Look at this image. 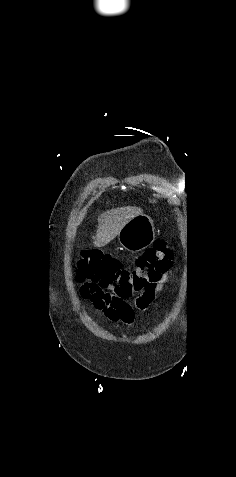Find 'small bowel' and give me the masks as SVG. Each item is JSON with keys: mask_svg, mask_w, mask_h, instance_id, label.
<instances>
[{"mask_svg": "<svg viewBox=\"0 0 236 477\" xmlns=\"http://www.w3.org/2000/svg\"><path fill=\"white\" fill-rule=\"evenodd\" d=\"M157 290L152 291L150 293H146L142 295L141 297H139L135 301L136 307L142 311L147 310L149 306L151 305ZM95 308L97 310L102 311L104 315L111 321H115V322L120 321L128 325L132 324L133 322L134 313L132 308L125 313H121L120 311L112 308L110 305H103L100 308L99 307H95Z\"/></svg>", "mask_w": 236, "mask_h": 477, "instance_id": "small-bowel-1", "label": "small bowel"}]
</instances>
